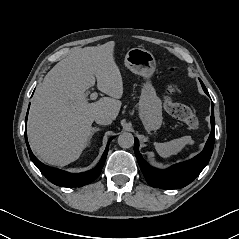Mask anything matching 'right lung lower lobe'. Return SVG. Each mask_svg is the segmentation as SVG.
I'll list each match as a JSON object with an SVG mask.
<instances>
[{
	"label": "right lung lower lobe",
	"mask_w": 239,
	"mask_h": 239,
	"mask_svg": "<svg viewBox=\"0 0 239 239\" xmlns=\"http://www.w3.org/2000/svg\"><path fill=\"white\" fill-rule=\"evenodd\" d=\"M29 110V109H28ZM26 122H27V115H26ZM114 137H111L107 143L106 149L102 155V158L100 162L90 171L84 172V173H78V174H73L69 173L60 169L52 168L49 166L44 165L41 163L32 153L28 140H27V134L25 131V141L27 144L29 156L32 160V162L37 166V168L41 171V173L53 184L57 186H62V187H81L84 185H87L94 181L101 173V170L104 166L106 156L108 153V147L110 144V141Z\"/></svg>",
	"instance_id": "1"
}]
</instances>
